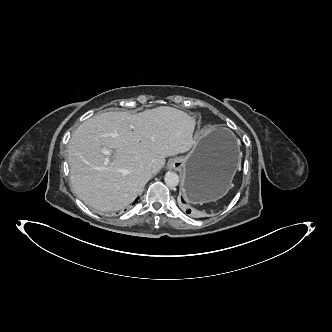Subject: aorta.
<instances>
[{
  "label": "aorta",
  "instance_id": "1",
  "mask_svg": "<svg viewBox=\"0 0 332 332\" xmlns=\"http://www.w3.org/2000/svg\"><path fill=\"white\" fill-rule=\"evenodd\" d=\"M167 186L175 187L179 183V176L176 172H167L164 177Z\"/></svg>",
  "mask_w": 332,
  "mask_h": 332
}]
</instances>
